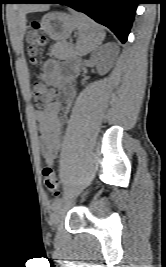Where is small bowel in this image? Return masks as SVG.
<instances>
[{
    "instance_id": "1",
    "label": "small bowel",
    "mask_w": 166,
    "mask_h": 267,
    "mask_svg": "<svg viewBox=\"0 0 166 267\" xmlns=\"http://www.w3.org/2000/svg\"><path fill=\"white\" fill-rule=\"evenodd\" d=\"M76 74V69L69 67L64 70L58 61L50 59L45 62L40 77L46 84L58 88L64 95L67 104L70 105L75 97L72 80ZM59 114V104H54L45 110L35 112L41 152L49 163L54 162L61 147L63 120Z\"/></svg>"
}]
</instances>
